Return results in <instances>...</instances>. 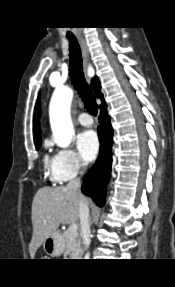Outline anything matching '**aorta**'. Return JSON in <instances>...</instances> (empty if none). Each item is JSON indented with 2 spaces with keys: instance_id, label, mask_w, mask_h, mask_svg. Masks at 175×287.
Wrapping results in <instances>:
<instances>
[{
  "instance_id": "obj_1",
  "label": "aorta",
  "mask_w": 175,
  "mask_h": 287,
  "mask_svg": "<svg viewBox=\"0 0 175 287\" xmlns=\"http://www.w3.org/2000/svg\"><path fill=\"white\" fill-rule=\"evenodd\" d=\"M73 90L69 87L57 88L49 106L50 124L54 142L61 148H67L75 134L70 116Z\"/></svg>"
}]
</instances>
